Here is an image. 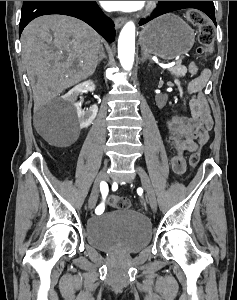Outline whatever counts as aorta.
Masks as SVG:
<instances>
[{
  "label": "aorta",
  "instance_id": "762f6f07",
  "mask_svg": "<svg viewBox=\"0 0 237 300\" xmlns=\"http://www.w3.org/2000/svg\"><path fill=\"white\" fill-rule=\"evenodd\" d=\"M135 53V25L132 21L124 25L118 39V57L121 67L131 71Z\"/></svg>",
  "mask_w": 237,
  "mask_h": 300
}]
</instances>
